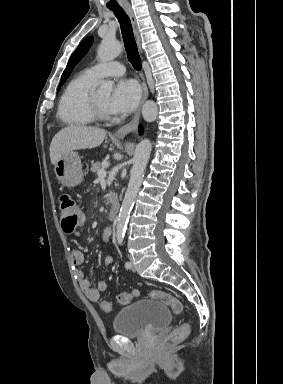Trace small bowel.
<instances>
[{"instance_id": "small-bowel-1", "label": "small bowel", "mask_w": 283, "mask_h": 384, "mask_svg": "<svg viewBox=\"0 0 283 384\" xmlns=\"http://www.w3.org/2000/svg\"><path fill=\"white\" fill-rule=\"evenodd\" d=\"M112 233L110 226H107L103 231V240L107 241ZM78 234V232L76 233ZM71 262L74 267H76V278L79 284L81 291L87 297L88 300L92 302H97L100 298V294L106 290L107 282L101 281L95 287H92L89 280L85 277L84 272L81 269H78L84 263V254L80 250H74L71 253ZM104 263L106 266H110L113 263L112 256H106L104 258Z\"/></svg>"}]
</instances>
